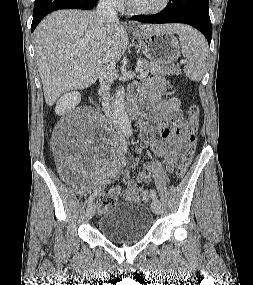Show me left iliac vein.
Instances as JSON below:
<instances>
[{"label":"left iliac vein","mask_w":253,"mask_h":285,"mask_svg":"<svg viewBox=\"0 0 253 285\" xmlns=\"http://www.w3.org/2000/svg\"><path fill=\"white\" fill-rule=\"evenodd\" d=\"M151 208H152V211L156 214V215H159L160 212H161V204L159 202L158 199H153L152 202H151Z\"/></svg>","instance_id":"4c4485c4"}]
</instances>
